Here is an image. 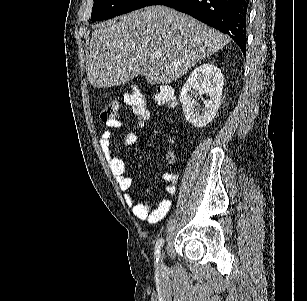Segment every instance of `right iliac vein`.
I'll return each instance as SVG.
<instances>
[{
  "mask_svg": "<svg viewBox=\"0 0 307 301\" xmlns=\"http://www.w3.org/2000/svg\"><path fill=\"white\" fill-rule=\"evenodd\" d=\"M163 257H164V253L161 254V261H160V263L158 264V267H159L161 270H163V268H164Z\"/></svg>",
  "mask_w": 307,
  "mask_h": 301,
  "instance_id": "obj_1",
  "label": "right iliac vein"
}]
</instances>
